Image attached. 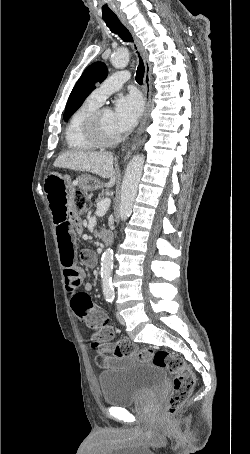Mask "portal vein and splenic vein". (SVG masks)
I'll return each instance as SVG.
<instances>
[{"mask_svg":"<svg viewBox=\"0 0 250 454\" xmlns=\"http://www.w3.org/2000/svg\"><path fill=\"white\" fill-rule=\"evenodd\" d=\"M111 204L110 198H104L97 203V210L96 214L101 215L107 212L109 206Z\"/></svg>","mask_w":250,"mask_h":454,"instance_id":"obj_1","label":"portal vein and splenic vein"}]
</instances>
